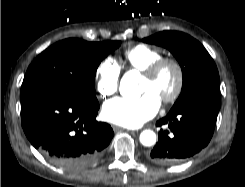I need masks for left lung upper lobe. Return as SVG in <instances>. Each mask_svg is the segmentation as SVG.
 <instances>
[{
	"label": "left lung upper lobe",
	"mask_w": 245,
	"mask_h": 187,
	"mask_svg": "<svg viewBox=\"0 0 245 187\" xmlns=\"http://www.w3.org/2000/svg\"><path fill=\"white\" fill-rule=\"evenodd\" d=\"M143 41L169 49L182 68V91L170 111L201 95L220 91L219 74L212 57L191 36L177 31H163Z\"/></svg>",
	"instance_id": "5c2ea615"
}]
</instances>
